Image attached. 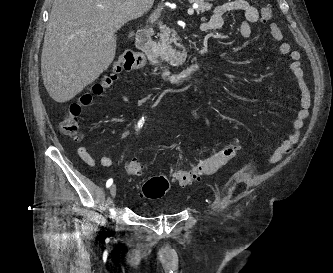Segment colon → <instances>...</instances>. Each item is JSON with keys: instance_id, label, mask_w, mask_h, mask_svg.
Returning a JSON list of instances; mask_svg holds the SVG:
<instances>
[{"instance_id": "colon-1", "label": "colon", "mask_w": 333, "mask_h": 273, "mask_svg": "<svg viewBox=\"0 0 333 273\" xmlns=\"http://www.w3.org/2000/svg\"><path fill=\"white\" fill-rule=\"evenodd\" d=\"M273 17V9L271 7H263L261 10V18L263 22L271 20ZM146 64L145 57L136 51L123 52L112 64L110 71L97 83H95L89 91L83 93L76 102L70 104L68 112L61 123V131L72 138H78L80 131L79 118L82 108L89 105L93 98L100 96L115 81L122 71L143 67ZM240 149L238 141L227 144L214 155L203 159L194 168L190 170H176L173 172L174 180L180 186H188L198 180L203 175H211L221 167L231 161ZM143 164L138 160H130L125 164L126 174L129 181L140 188L141 195L148 199H158L164 196L168 191L170 182L164 175L152 176L142 184H137L136 180L143 174Z\"/></svg>"}]
</instances>
